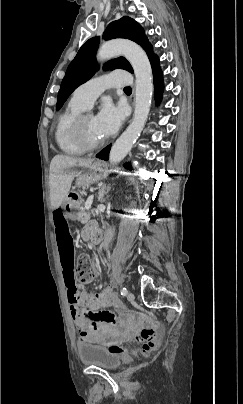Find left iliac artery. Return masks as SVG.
<instances>
[{"label":"left iliac artery","instance_id":"left-iliac-artery-1","mask_svg":"<svg viewBox=\"0 0 243 404\" xmlns=\"http://www.w3.org/2000/svg\"><path fill=\"white\" fill-rule=\"evenodd\" d=\"M121 295L125 296L127 294V289L125 287L121 288Z\"/></svg>","mask_w":243,"mask_h":404}]
</instances>
